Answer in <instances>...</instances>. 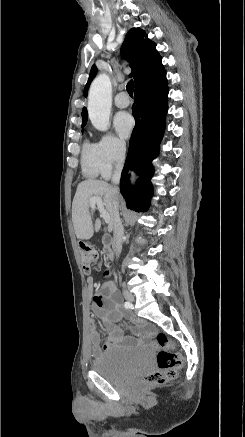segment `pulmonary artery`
<instances>
[{"instance_id": "pulmonary-artery-1", "label": "pulmonary artery", "mask_w": 245, "mask_h": 437, "mask_svg": "<svg viewBox=\"0 0 245 437\" xmlns=\"http://www.w3.org/2000/svg\"><path fill=\"white\" fill-rule=\"evenodd\" d=\"M114 103L118 108H126L130 104V100L125 92H120L116 95Z\"/></svg>"}]
</instances>
